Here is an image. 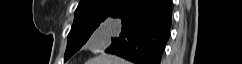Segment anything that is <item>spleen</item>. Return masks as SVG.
Instances as JSON below:
<instances>
[{"label":"spleen","mask_w":242,"mask_h":64,"mask_svg":"<svg viewBox=\"0 0 242 64\" xmlns=\"http://www.w3.org/2000/svg\"><path fill=\"white\" fill-rule=\"evenodd\" d=\"M86 64H131V63L115 55L101 54L93 59L88 60Z\"/></svg>","instance_id":"obj_1"}]
</instances>
